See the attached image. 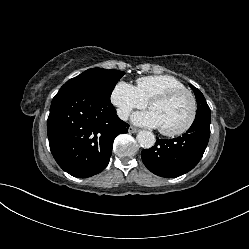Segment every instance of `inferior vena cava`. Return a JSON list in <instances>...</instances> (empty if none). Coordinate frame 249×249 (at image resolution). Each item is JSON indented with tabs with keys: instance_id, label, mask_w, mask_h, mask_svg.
Returning <instances> with one entry per match:
<instances>
[{
	"instance_id": "1",
	"label": "inferior vena cava",
	"mask_w": 249,
	"mask_h": 249,
	"mask_svg": "<svg viewBox=\"0 0 249 249\" xmlns=\"http://www.w3.org/2000/svg\"><path fill=\"white\" fill-rule=\"evenodd\" d=\"M117 114L119 116L120 119L126 121L129 117V111L128 110H118Z\"/></svg>"
}]
</instances>
